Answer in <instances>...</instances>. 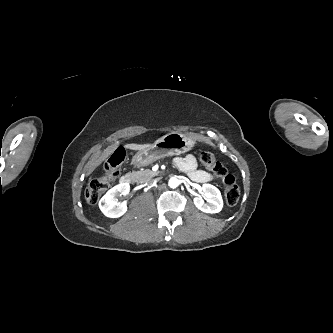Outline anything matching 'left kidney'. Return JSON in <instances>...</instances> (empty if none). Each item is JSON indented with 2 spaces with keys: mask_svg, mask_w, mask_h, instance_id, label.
<instances>
[{
  "mask_svg": "<svg viewBox=\"0 0 333 333\" xmlns=\"http://www.w3.org/2000/svg\"><path fill=\"white\" fill-rule=\"evenodd\" d=\"M201 193L207 203L201 197L194 198L195 206L205 213H218L223 207V200L220 191L211 184H203Z\"/></svg>",
  "mask_w": 333,
  "mask_h": 333,
  "instance_id": "1",
  "label": "left kidney"
}]
</instances>
